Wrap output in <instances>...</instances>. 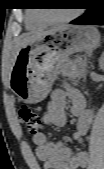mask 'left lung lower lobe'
Returning <instances> with one entry per match:
<instances>
[{"label": "left lung lower lobe", "instance_id": "left-lung-lower-lobe-1", "mask_svg": "<svg viewBox=\"0 0 104 169\" xmlns=\"http://www.w3.org/2000/svg\"><path fill=\"white\" fill-rule=\"evenodd\" d=\"M89 8L84 15L71 22L77 25H104V8L99 0L89 3Z\"/></svg>", "mask_w": 104, "mask_h": 169}]
</instances>
